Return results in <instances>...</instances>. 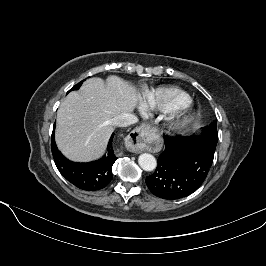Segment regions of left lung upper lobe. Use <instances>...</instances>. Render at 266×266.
Masks as SVG:
<instances>
[{"instance_id": "5c2ea615", "label": "left lung upper lobe", "mask_w": 266, "mask_h": 266, "mask_svg": "<svg viewBox=\"0 0 266 266\" xmlns=\"http://www.w3.org/2000/svg\"><path fill=\"white\" fill-rule=\"evenodd\" d=\"M217 121H213L209 126H206L203 129L202 135L197 137L195 140L198 143H201L213 153L215 152L217 141H218V132L216 128Z\"/></svg>"}]
</instances>
